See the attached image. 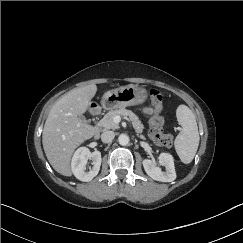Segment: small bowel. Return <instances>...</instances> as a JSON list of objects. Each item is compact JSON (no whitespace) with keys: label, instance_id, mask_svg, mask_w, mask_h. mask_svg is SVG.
<instances>
[{"label":"small bowel","instance_id":"small-bowel-1","mask_svg":"<svg viewBox=\"0 0 243 243\" xmlns=\"http://www.w3.org/2000/svg\"><path fill=\"white\" fill-rule=\"evenodd\" d=\"M146 111H147L148 113H151V112H152V108L148 107V108L146 109Z\"/></svg>","mask_w":243,"mask_h":243}]
</instances>
